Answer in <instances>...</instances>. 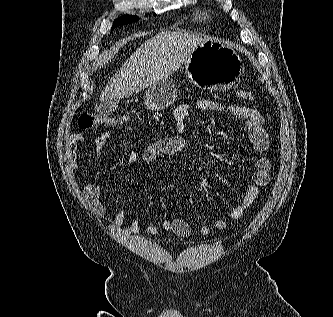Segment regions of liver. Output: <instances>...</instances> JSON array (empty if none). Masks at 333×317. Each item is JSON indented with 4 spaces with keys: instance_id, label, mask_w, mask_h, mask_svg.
<instances>
[{
    "instance_id": "liver-1",
    "label": "liver",
    "mask_w": 333,
    "mask_h": 317,
    "mask_svg": "<svg viewBox=\"0 0 333 317\" xmlns=\"http://www.w3.org/2000/svg\"><path fill=\"white\" fill-rule=\"evenodd\" d=\"M212 38L202 34L166 31L148 39L130 56L102 91L100 101L121 99L168 78L197 46Z\"/></svg>"
}]
</instances>
